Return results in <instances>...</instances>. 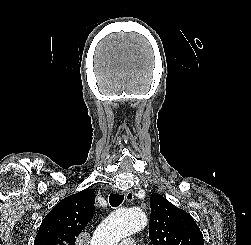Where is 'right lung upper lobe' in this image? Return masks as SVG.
I'll return each instance as SVG.
<instances>
[{"instance_id": "obj_1", "label": "right lung upper lobe", "mask_w": 251, "mask_h": 245, "mask_svg": "<svg viewBox=\"0 0 251 245\" xmlns=\"http://www.w3.org/2000/svg\"><path fill=\"white\" fill-rule=\"evenodd\" d=\"M94 203L89 189L61 200L42 221L34 245H74L94 216Z\"/></svg>"}]
</instances>
